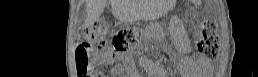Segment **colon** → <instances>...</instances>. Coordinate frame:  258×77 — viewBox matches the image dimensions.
Here are the masks:
<instances>
[{"mask_svg":"<svg viewBox=\"0 0 258 77\" xmlns=\"http://www.w3.org/2000/svg\"><path fill=\"white\" fill-rule=\"evenodd\" d=\"M76 55L78 73L88 76L96 71L90 62L89 53L93 50L105 49L108 45L107 25L104 21H96L81 28ZM136 40V34L130 30H121L113 38V48L117 51L127 50ZM219 36L211 22H204L198 39V50L206 59H216L219 55Z\"/></svg>","mask_w":258,"mask_h":77,"instance_id":"obj_1","label":"colon"}]
</instances>
